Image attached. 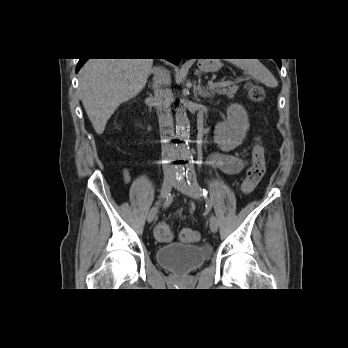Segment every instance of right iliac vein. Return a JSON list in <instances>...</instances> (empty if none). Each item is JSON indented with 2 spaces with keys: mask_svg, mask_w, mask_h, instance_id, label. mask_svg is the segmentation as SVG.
<instances>
[{
  "mask_svg": "<svg viewBox=\"0 0 348 348\" xmlns=\"http://www.w3.org/2000/svg\"><path fill=\"white\" fill-rule=\"evenodd\" d=\"M174 182H175V178L173 176H166L164 178L163 183H162V187H161V192H160V197L162 199L165 198L170 193L172 185L174 184ZM158 207H159V204L154 206L149 211L148 216H147V221L149 223H151L154 220L156 213H157V210H158Z\"/></svg>",
  "mask_w": 348,
  "mask_h": 348,
  "instance_id": "obj_1",
  "label": "right iliac vein"
}]
</instances>
